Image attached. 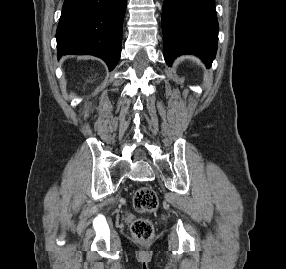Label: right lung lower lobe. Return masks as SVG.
Wrapping results in <instances>:
<instances>
[{"mask_svg": "<svg viewBox=\"0 0 286 269\" xmlns=\"http://www.w3.org/2000/svg\"><path fill=\"white\" fill-rule=\"evenodd\" d=\"M127 0H65L56 39L58 57L94 55L112 70L121 55Z\"/></svg>", "mask_w": 286, "mask_h": 269, "instance_id": "right-lung-lower-lobe-1", "label": "right lung lower lobe"}]
</instances>
